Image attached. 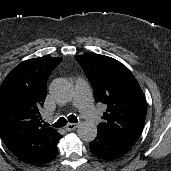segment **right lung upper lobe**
I'll return each mask as SVG.
<instances>
[{"mask_svg": "<svg viewBox=\"0 0 171 171\" xmlns=\"http://www.w3.org/2000/svg\"><path fill=\"white\" fill-rule=\"evenodd\" d=\"M61 61L60 57L26 60L0 86L1 138L19 160L32 165L44 160L61 138L55 129L40 122L47 79Z\"/></svg>", "mask_w": 171, "mask_h": 171, "instance_id": "1", "label": "right lung upper lobe"}]
</instances>
